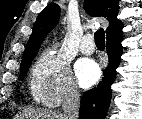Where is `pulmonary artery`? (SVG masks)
I'll use <instances>...</instances> for the list:
<instances>
[{
    "mask_svg": "<svg viewBox=\"0 0 142 119\" xmlns=\"http://www.w3.org/2000/svg\"><path fill=\"white\" fill-rule=\"evenodd\" d=\"M80 51L85 55H91L95 51L93 37L85 35L80 43Z\"/></svg>",
    "mask_w": 142,
    "mask_h": 119,
    "instance_id": "e3ab8cb5",
    "label": "pulmonary artery"
}]
</instances>
